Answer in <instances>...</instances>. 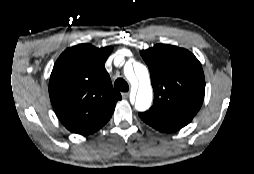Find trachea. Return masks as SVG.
<instances>
[{
	"mask_svg": "<svg viewBox=\"0 0 254 174\" xmlns=\"http://www.w3.org/2000/svg\"><path fill=\"white\" fill-rule=\"evenodd\" d=\"M114 87H115L116 90H120V91H124V92L129 90L128 83L122 78H118L115 81Z\"/></svg>",
	"mask_w": 254,
	"mask_h": 174,
	"instance_id": "3493384b",
	"label": "trachea"
}]
</instances>
